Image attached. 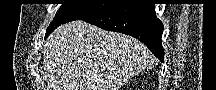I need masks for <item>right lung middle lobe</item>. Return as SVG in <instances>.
<instances>
[{
	"mask_svg": "<svg viewBox=\"0 0 216 90\" xmlns=\"http://www.w3.org/2000/svg\"><path fill=\"white\" fill-rule=\"evenodd\" d=\"M115 4H62L46 30L45 39L61 24L99 14Z\"/></svg>",
	"mask_w": 216,
	"mask_h": 90,
	"instance_id": "right-lung-middle-lobe-1",
	"label": "right lung middle lobe"
}]
</instances>
